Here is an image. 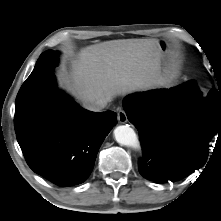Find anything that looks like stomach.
Segmentation results:
<instances>
[{"label": "stomach", "instance_id": "0dacf381", "mask_svg": "<svg viewBox=\"0 0 221 221\" xmlns=\"http://www.w3.org/2000/svg\"><path fill=\"white\" fill-rule=\"evenodd\" d=\"M158 48L160 50V57L162 58L165 54L168 53L167 44L164 41L158 43Z\"/></svg>", "mask_w": 221, "mask_h": 221}]
</instances>
